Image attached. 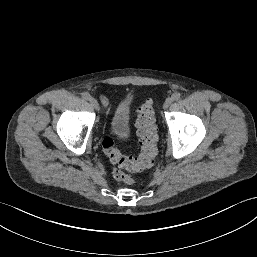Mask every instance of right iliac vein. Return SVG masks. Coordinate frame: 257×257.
Segmentation results:
<instances>
[{"mask_svg": "<svg viewBox=\"0 0 257 257\" xmlns=\"http://www.w3.org/2000/svg\"><path fill=\"white\" fill-rule=\"evenodd\" d=\"M90 103L94 107L95 110H99V103L95 98H91Z\"/></svg>", "mask_w": 257, "mask_h": 257, "instance_id": "63e3f726", "label": "right iliac vein"}]
</instances>
